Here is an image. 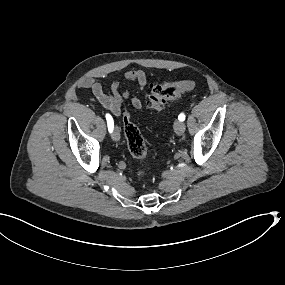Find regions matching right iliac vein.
<instances>
[{"label":"right iliac vein","mask_w":285,"mask_h":285,"mask_svg":"<svg viewBox=\"0 0 285 285\" xmlns=\"http://www.w3.org/2000/svg\"><path fill=\"white\" fill-rule=\"evenodd\" d=\"M112 139L114 141H118L120 139V131H119L118 127H115L114 132L112 134Z\"/></svg>","instance_id":"obj_1"}]
</instances>
